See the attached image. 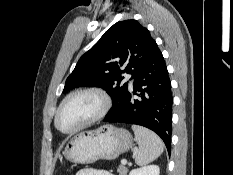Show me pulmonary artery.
Returning <instances> with one entry per match:
<instances>
[{
  "instance_id": "pulmonary-artery-1",
  "label": "pulmonary artery",
  "mask_w": 233,
  "mask_h": 175,
  "mask_svg": "<svg viewBox=\"0 0 233 175\" xmlns=\"http://www.w3.org/2000/svg\"><path fill=\"white\" fill-rule=\"evenodd\" d=\"M127 78H131V76H130V75H127Z\"/></svg>"
}]
</instances>
